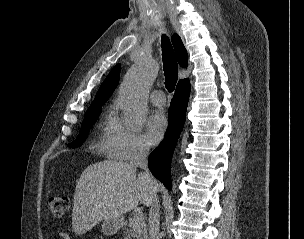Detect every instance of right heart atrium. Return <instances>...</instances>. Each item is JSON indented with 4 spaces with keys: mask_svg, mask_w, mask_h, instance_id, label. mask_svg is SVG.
I'll list each match as a JSON object with an SVG mask.
<instances>
[{
    "mask_svg": "<svg viewBox=\"0 0 304 239\" xmlns=\"http://www.w3.org/2000/svg\"><path fill=\"white\" fill-rule=\"evenodd\" d=\"M100 146L105 152L121 160L143 156L149 151L144 134L118 117L111 119Z\"/></svg>",
    "mask_w": 304,
    "mask_h": 239,
    "instance_id": "d8ad5b80",
    "label": "right heart atrium"
}]
</instances>
